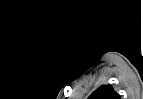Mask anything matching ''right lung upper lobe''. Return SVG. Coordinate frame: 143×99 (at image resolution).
I'll use <instances>...</instances> for the list:
<instances>
[{"label": "right lung upper lobe", "mask_w": 143, "mask_h": 99, "mask_svg": "<svg viewBox=\"0 0 143 99\" xmlns=\"http://www.w3.org/2000/svg\"><path fill=\"white\" fill-rule=\"evenodd\" d=\"M88 99H120V95L111 85H103L96 89Z\"/></svg>", "instance_id": "cb5924a9"}]
</instances>
